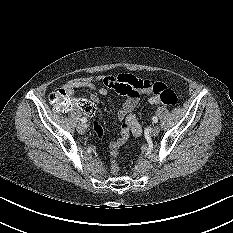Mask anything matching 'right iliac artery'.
I'll return each mask as SVG.
<instances>
[{
    "instance_id": "right-iliac-artery-1",
    "label": "right iliac artery",
    "mask_w": 233,
    "mask_h": 233,
    "mask_svg": "<svg viewBox=\"0 0 233 233\" xmlns=\"http://www.w3.org/2000/svg\"><path fill=\"white\" fill-rule=\"evenodd\" d=\"M81 121H82V123H86V122H87V118L83 117V118L81 119Z\"/></svg>"
}]
</instances>
